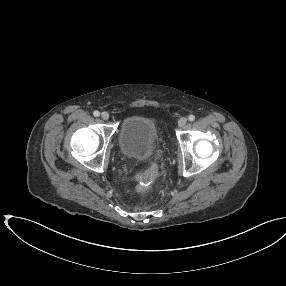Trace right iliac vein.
I'll use <instances>...</instances> for the list:
<instances>
[{
	"mask_svg": "<svg viewBox=\"0 0 286 286\" xmlns=\"http://www.w3.org/2000/svg\"><path fill=\"white\" fill-rule=\"evenodd\" d=\"M101 117H102V119H104V120H108V119H109V114H108V112H102Z\"/></svg>",
	"mask_w": 286,
	"mask_h": 286,
	"instance_id": "right-iliac-vein-1",
	"label": "right iliac vein"
}]
</instances>
